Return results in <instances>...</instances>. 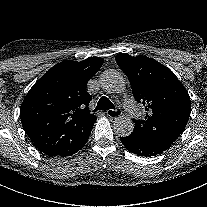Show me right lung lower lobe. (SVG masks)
<instances>
[{
	"instance_id": "1",
	"label": "right lung lower lobe",
	"mask_w": 207,
	"mask_h": 207,
	"mask_svg": "<svg viewBox=\"0 0 207 207\" xmlns=\"http://www.w3.org/2000/svg\"><path fill=\"white\" fill-rule=\"evenodd\" d=\"M93 127V126H92ZM92 128L90 129V131L87 133V135L82 139V141L80 143H78L70 152L58 156V157H66V156H70L73 155L74 153H76L78 150H80L81 148L84 147V145L86 144V142L88 141L89 135L91 133Z\"/></svg>"
}]
</instances>
